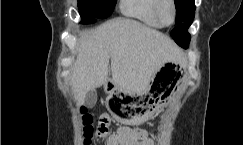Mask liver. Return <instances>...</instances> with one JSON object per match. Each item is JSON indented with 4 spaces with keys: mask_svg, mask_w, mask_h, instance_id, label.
<instances>
[{
    "mask_svg": "<svg viewBox=\"0 0 243 145\" xmlns=\"http://www.w3.org/2000/svg\"><path fill=\"white\" fill-rule=\"evenodd\" d=\"M80 38L71 75L74 98L79 103L89 90L107 82L109 61L113 83L134 93L146 92L164 63L185 62L182 51L169 37L132 19H112L83 31Z\"/></svg>",
    "mask_w": 243,
    "mask_h": 145,
    "instance_id": "6515ba94",
    "label": "liver"
}]
</instances>
